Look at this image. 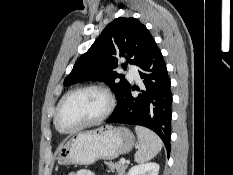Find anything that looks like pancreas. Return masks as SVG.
<instances>
[{"label":"pancreas","mask_w":233,"mask_h":175,"mask_svg":"<svg viewBox=\"0 0 233 175\" xmlns=\"http://www.w3.org/2000/svg\"><path fill=\"white\" fill-rule=\"evenodd\" d=\"M105 164L112 172L116 170L118 175H125V170L127 169V167L124 164H121L120 162H105Z\"/></svg>","instance_id":"cf45deb5"}]
</instances>
